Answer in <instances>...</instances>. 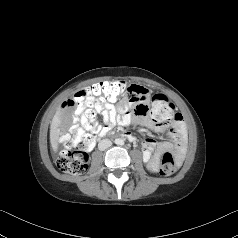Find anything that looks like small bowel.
Masks as SVG:
<instances>
[{"label": "small bowel", "mask_w": 238, "mask_h": 238, "mask_svg": "<svg viewBox=\"0 0 238 238\" xmlns=\"http://www.w3.org/2000/svg\"><path fill=\"white\" fill-rule=\"evenodd\" d=\"M149 100L148 89L143 86L133 85L130 87L125 100L120 104L116 105L111 102L96 103L94 109L95 112L101 114L103 118L102 125L96 122L94 117L87 115L85 111L87 104L73 105L71 100H68L64 103L63 108L75 107L73 123L80 122L84 129H87L92 124L94 126V135H105L116 125L127 126L130 124L144 126L157 133H167L171 139L170 141L158 143L148 138L142 142L145 162H147L152 171H157L160 157L163 154L173 152L179 160L182 158L186 146V129L179 114H175V117L170 122H157L150 118L152 110L148 105ZM60 120L61 118L58 116L55 118L54 123L58 124ZM70 132H76V135H78L82 133V129L73 124L70 127ZM125 135L131 134L127 132ZM57 138L60 143H66L70 140L76 142V136L72 138L70 133H58ZM93 146L94 141L90 143L88 150L92 149Z\"/></svg>", "instance_id": "1"}]
</instances>
